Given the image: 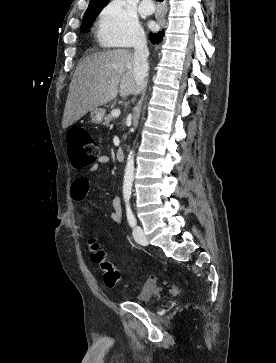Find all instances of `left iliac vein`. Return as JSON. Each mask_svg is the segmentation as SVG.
Instances as JSON below:
<instances>
[{
  "mask_svg": "<svg viewBox=\"0 0 276 363\" xmlns=\"http://www.w3.org/2000/svg\"><path fill=\"white\" fill-rule=\"evenodd\" d=\"M133 237H134L135 241L140 245L145 246L148 244L144 231H143L142 227H140V226H136L133 229Z\"/></svg>",
  "mask_w": 276,
  "mask_h": 363,
  "instance_id": "1",
  "label": "left iliac vein"
}]
</instances>
